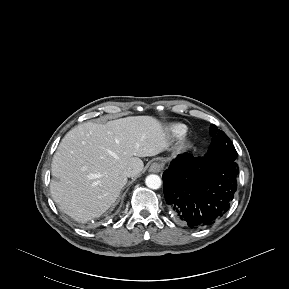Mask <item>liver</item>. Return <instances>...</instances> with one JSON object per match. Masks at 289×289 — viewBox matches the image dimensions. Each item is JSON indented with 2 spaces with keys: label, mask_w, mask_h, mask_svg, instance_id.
<instances>
[{
  "label": "liver",
  "mask_w": 289,
  "mask_h": 289,
  "mask_svg": "<svg viewBox=\"0 0 289 289\" xmlns=\"http://www.w3.org/2000/svg\"><path fill=\"white\" fill-rule=\"evenodd\" d=\"M169 146L164 126L150 116H131L105 125L87 122L71 129L52 159L51 196L60 210L78 222L101 216L127 183L144 167L140 157Z\"/></svg>",
  "instance_id": "liver-1"
}]
</instances>
